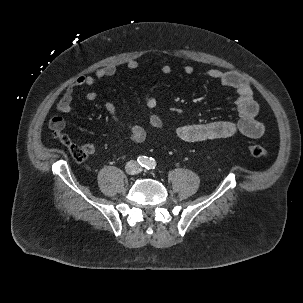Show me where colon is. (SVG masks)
<instances>
[{
    "label": "colon",
    "mask_w": 303,
    "mask_h": 303,
    "mask_svg": "<svg viewBox=\"0 0 303 303\" xmlns=\"http://www.w3.org/2000/svg\"><path fill=\"white\" fill-rule=\"evenodd\" d=\"M52 136L58 140L60 143H62L64 146L67 147L69 150L72 158L76 162H82L86 158V151L78 146L77 144H74L63 132L61 129L57 127H52ZM248 152L256 158H265L268 155V150L261 146V145H249L247 146Z\"/></svg>",
    "instance_id": "5ec220e1"
}]
</instances>
